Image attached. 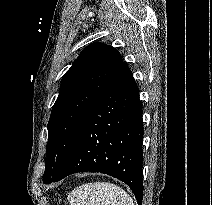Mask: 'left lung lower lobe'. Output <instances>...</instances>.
I'll use <instances>...</instances> for the list:
<instances>
[{
    "instance_id": "1",
    "label": "left lung lower lobe",
    "mask_w": 212,
    "mask_h": 205,
    "mask_svg": "<svg viewBox=\"0 0 212 205\" xmlns=\"http://www.w3.org/2000/svg\"><path fill=\"white\" fill-rule=\"evenodd\" d=\"M142 104L130 68L122 62L87 115L53 182L77 172H101L125 182L142 205Z\"/></svg>"
}]
</instances>
